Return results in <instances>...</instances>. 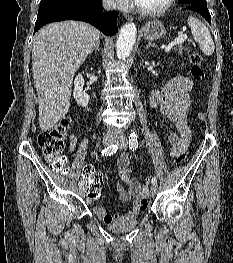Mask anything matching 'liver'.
Masks as SVG:
<instances>
[{
    "label": "liver",
    "mask_w": 233,
    "mask_h": 263,
    "mask_svg": "<svg viewBox=\"0 0 233 263\" xmlns=\"http://www.w3.org/2000/svg\"><path fill=\"white\" fill-rule=\"evenodd\" d=\"M101 33L79 21L50 23L33 40L32 70L39 98V126L51 130L70 107L74 74Z\"/></svg>",
    "instance_id": "obj_1"
}]
</instances>
